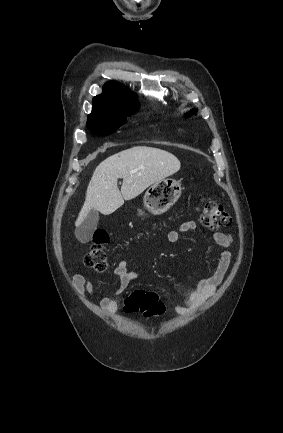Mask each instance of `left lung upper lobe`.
Returning a JSON list of instances; mask_svg holds the SVG:
<instances>
[{"instance_id": "5c2ea615", "label": "left lung upper lobe", "mask_w": 283, "mask_h": 433, "mask_svg": "<svg viewBox=\"0 0 283 433\" xmlns=\"http://www.w3.org/2000/svg\"><path fill=\"white\" fill-rule=\"evenodd\" d=\"M193 113H196L195 109H193L189 114H193Z\"/></svg>"}]
</instances>
